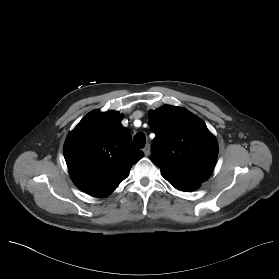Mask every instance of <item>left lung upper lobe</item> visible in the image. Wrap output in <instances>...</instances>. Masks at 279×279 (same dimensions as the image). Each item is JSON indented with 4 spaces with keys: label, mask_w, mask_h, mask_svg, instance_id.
<instances>
[{
    "label": "left lung upper lobe",
    "mask_w": 279,
    "mask_h": 279,
    "mask_svg": "<svg viewBox=\"0 0 279 279\" xmlns=\"http://www.w3.org/2000/svg\"><path fill=\"white\" fill-rule=\"evenodd\" d=\"M156 134L150 159L161 173L198 183L213 171L218 145L205 123L189 111L164 105L149 113Z\"/></svg>",
    "instance_id": "5c2ea615"
}]
</instances>
